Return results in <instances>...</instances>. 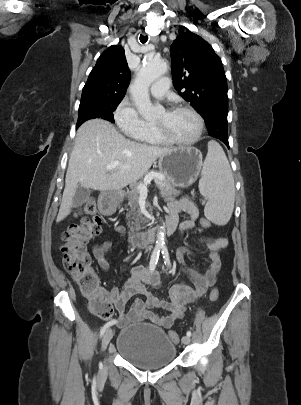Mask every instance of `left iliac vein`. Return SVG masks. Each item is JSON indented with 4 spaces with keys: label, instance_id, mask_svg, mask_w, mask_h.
Returning a JSON list of instances; mask_svg holds the SVG:
<instances>
[{
    "label": "left iliac vein",
    "instance_id": "left-iliac-vein-1",
    "mask_svg": "<svg viewBox=\"0 0 301 405\" xmlns=\"http://www.w3.org/2000/svg\"><path fill=\"white\" fill-rule=\"evenodd\" d=\"M182 343H183V344H186V345L189 344V343H190V337L187 336V335H186V336H183V337H182Z\"/></svg>",
    "mask_w": 301,
    "mask_h": 405
}]
</instances>
